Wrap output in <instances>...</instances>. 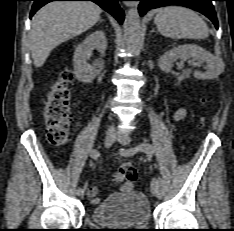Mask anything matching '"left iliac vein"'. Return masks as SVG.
Segmentation results:
<instances>
[{"label": "left iliac vein", "mask_w": 234, "mask_h": 231, "mask_svg": "<svg viewBox=\"0 0 234 231\" xmlns=\"http://www.w3.org/2000/svg\"><path fill=\"white\" fill-rule=\"evenodd\" d=\"M118 142L124 146L128 145L130 142V138L124 135H118L117 138ZM158 189H159V184H158V179L156 177L152 178L151 181V193L154 196H158Z\"/></svg>", "instance_id": "4c4485c4"}]
</instances>
